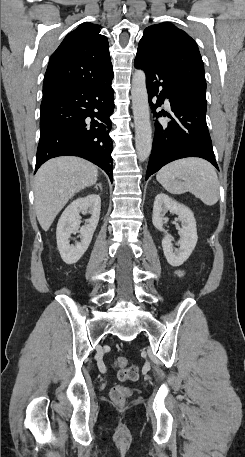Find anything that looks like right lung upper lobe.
Here are the masks:
<instances>
[{
    "label": "right lung upper lobe",
    "mask_w": 245,
    "mask_h": 457,
    "mask_svg": "<svg viewBox=\"0 0 245 457\" xmlns=\"http://www.w3.org/2000/svg\"><path fill=\"white\" fill-rule=\"evenodd\" d=\"M99 32V25L84 23L65 37L50 58L43 98L113 75L108 40Z\"/></svg>",
    "instance_id": "right-lung-upper-lobe-1"
}]
</instances>
